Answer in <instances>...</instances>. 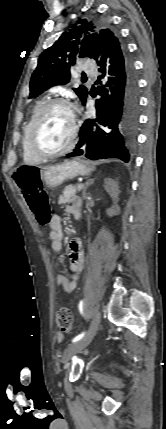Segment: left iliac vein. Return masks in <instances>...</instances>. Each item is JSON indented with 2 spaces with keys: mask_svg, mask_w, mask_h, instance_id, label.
<instances>
[{
  "mask_svg": "<svg viewBox=\"0 0 166 429\" xmlns=\"http://www.w3.org/2000/svg\"><path fill=\"white\" fill-rule=\"evenodd\" d=\"M100 319H101V313L100 311H96L94 317L91 320V323L86 335L82 339L69 345L65 349L62 357L63 363H67L74 354L78 353L79 351H81L82 349H84L86 346L90 344V342L92 341L93 337L97 332L98 326L100 324Z\"/></svg>",
  "mask_w": 166,
  "mask_h": 429,
  "instance_id": "left-iliac-vein-1",
  "label": "left iliac vein"
}]
</instances>
